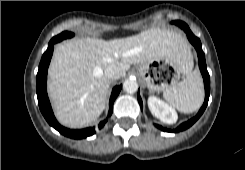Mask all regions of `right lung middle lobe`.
<instances>
[{
    "mask_svg": "<svg viewBox=\"0 0 245 170\" xmlns=\"http://www.w3.org/2000/svg\"><path fill=\"white\" fill-rule=\"evenodd\" d=\"M73 36H74V34L72 32L65 31V32H62L61 34L57 35L56 37H53L52 39L55 40V42H59L63 39L71 38Z\"/></svg>",
    "mask_w": 245,
    "mask_h": 170,
    "instance_id": "dd1d6c3e",
    "label": "right lung middle lobe"
}]
</instances>
